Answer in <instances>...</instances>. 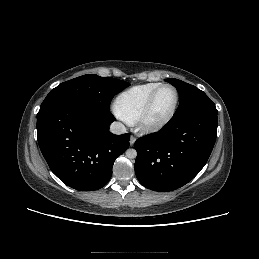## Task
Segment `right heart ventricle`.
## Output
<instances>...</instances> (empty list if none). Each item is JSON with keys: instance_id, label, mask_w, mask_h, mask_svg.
<instances>
[{"instance_id": "e07e8e85", "label": "right heart ventricle", "mask_w": 259, "mask_h": 259, "mask_svg": "<svg viewBox=\"0 0 259 259\" xmlns=\"http://www.w3.org/2000/svg\"><path fill=\"white\" fill-rule=\"evenodd\" d=\"M161 83L151 82L133 86L118 95L116 113L128 123H134L143 111L150 95Z\"/></svg>"}]
</instances>
